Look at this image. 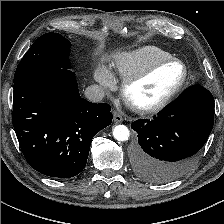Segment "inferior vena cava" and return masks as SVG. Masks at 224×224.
<instances>
[{
  "mask_svg": "<svg viewBox=\"0 0 224 224\" xmlns=\"http://www.w3.org/2000/svg\"><path fill=\"white\" fill-rule=\"evenodd\" d=\"M85 97L91 102H100L104 97V90L99 85H91L85 89Z\"/></svg>",
  "mask_w": 224,
  "mask_h": 224,
  "instance_id": "obj_1",
  "label": "inferior vena cava"
}]
</instances>
